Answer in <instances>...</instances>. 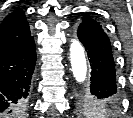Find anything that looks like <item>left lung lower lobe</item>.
Instances as JSON below:
<instances>
[{"label":"left lung lower lobe","instance_id":"left-lung-lower-lobe-1","mask_svg":"<svg viewBox=\"0 0 133 118\" xmlns=\"http://www.w3.org/2000/svg\"><path fill=\"white\" fill-rule=\"evenodd\" d=\"M77 36L84 45L91 64L90 82L85 88L97 100L112 99L119 102L115 62L108 36L105 32L86 25H79Z\"/></svg>","mask_w":133,"mask_h":118}]
</instances>
